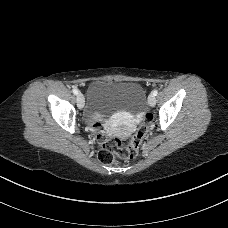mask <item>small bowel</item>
I'll return each instance as SVG.
<instances>
[{"mask_svg":"<svg viewBox=\"0 0 228 228\" xmlns=\"http://www.w3.org/2000/svg\"><path fill=\"white\" fill-rule=\"evenodd\" d=\"M103 138H104V133H103V132H100V133L98 134V139H99V140H103Z\"/></svg>","mask_w":228,"mask_h":228,"instance_id":"obj_1","label":"small bowel"}]
</instances>
